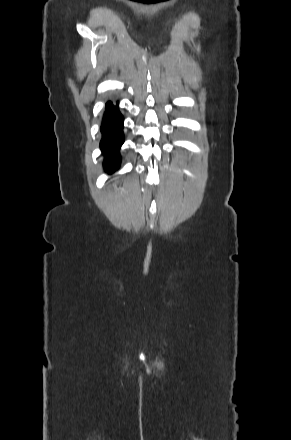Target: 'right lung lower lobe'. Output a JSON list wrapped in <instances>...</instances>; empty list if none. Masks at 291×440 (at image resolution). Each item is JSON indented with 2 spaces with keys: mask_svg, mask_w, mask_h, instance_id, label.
<instances>
[{
  "mask_svg": "<svg viewBox=\"0 0 291 440\" xmlns=\"http://www.w3.org/2000/svg\"><path fill=\"white\" fill-rule=\"evenodd\" d=\"M106 117L103 122L102 140L100 148L103 154L107 155L104 161V167L108 172L117 169L120 163V155L118 150L124 141L123 137V116L118 110V106H114L111 102L106 104Z\"/></svg>",
  "mask_w": 291,
  "mask_h": 440,
  "instance_id": "right-lung-lower-lobe-1",
  "label": "right lung lower lobe"
}]
</instances>
